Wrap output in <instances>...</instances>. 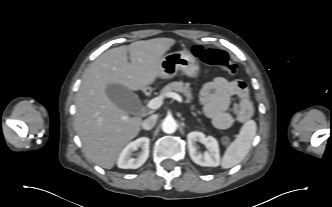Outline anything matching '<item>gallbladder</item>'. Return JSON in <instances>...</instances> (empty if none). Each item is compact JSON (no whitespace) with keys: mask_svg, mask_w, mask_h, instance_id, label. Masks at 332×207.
<instances>
[{"mask_svg":"<svg viewBox=\"0 0 332 207\" xmlns=\"http://www.w3.org/2000/svg\"><path fill=\"white\" fill-rule=\"evenodd\" d=\"M106 92L110 100L121 109L133 114L137 112L140 104L138 96L127 87L120 84H110Z\"/></svg>","mask_w":332,"mask_h":207,"instance_id":"bac80fb5","label":"gallbladder"}]
</instances>
